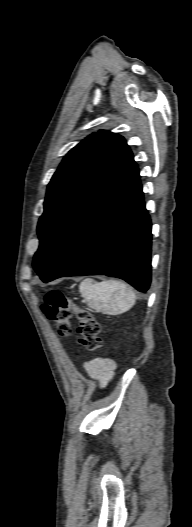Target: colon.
<instances>
[{"instance_id": "colon-1", "label": "colon", "mask_w": 192, "mask_h": 527, "mask_svg": "<svg viewBox=\"0 0 192 527\" xmlns=\"http://www.w3.org/2000/svg\"><path fill=\"white\" fill-rule=\"evenodd\" d=\"M42 310L57 332L65 337L72 334L71 317L74 314L78 320L79 343L89 351H96L102 347L99 322L88 310L76 306L61 291H49Z\"/></svg>"}]
</instances>
